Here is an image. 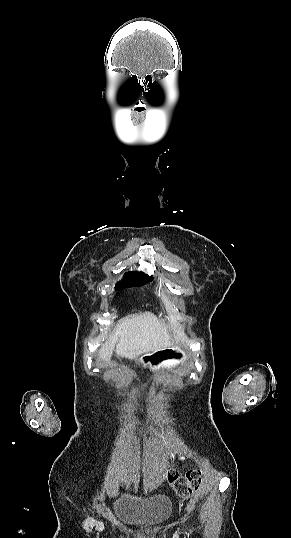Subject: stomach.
I'll list each match as a JSON object with an SVG mask.
<instances>
[{"mask_svg":"<svg viewBox=\"0 0 291 538\" xmlns=\"http://www.w3.org/2000/svg\"><path fill=\"white\" fill-rule=\"evenodd\" d=\"M187 359L186 351L180 346H171L151 351L136 357V363L149 368L155 373H167L183 365Z\"/></svg>","mask_w":291,"mask_h":538,"instance_id":"0dacf381","label":"stomach"}]
</instances>
